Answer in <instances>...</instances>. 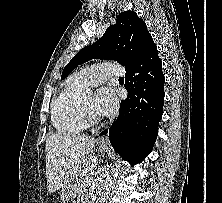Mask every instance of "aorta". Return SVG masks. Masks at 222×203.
I'll list each match as a JSON object with an SVG mask.
<instances>
[{"label":"aorta","mask_w":222,"mask_h":203,"mask_svg":"<svg viewBox=\"0 0 222 203\" xmlns=\"http://www.w3.org/2000/svg\"><path fill=\"white\" fill-rule=\"evenodd\" d=\"M121 163L120 159L115 163V165L112 167L111 172L108 174V176L105 179V182L102 186L101 194L98 198L99 203H104L108 197V194L113 187L114 181L118 175V172L120 170Z\"/></svg>","instance_id":"aorta-1"}]
</instances>
